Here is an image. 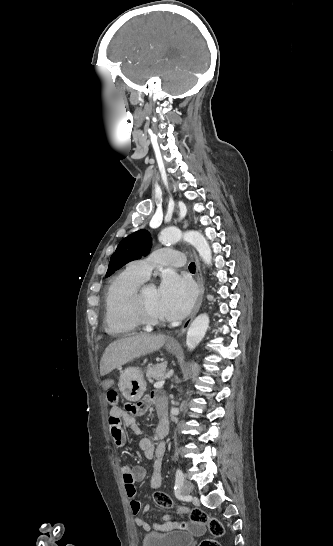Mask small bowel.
Returning <instances> with one entry per match:
<instances>
[{"label": "small bowel", "instance_id": "1", "mask_svg": "<svg viewBox=\"0 0 333 546\" xmlns=\"http://www.w3.org/2000/svg\"><path fill=\"white\" fill-rule=\"evenodd\" d=\"M105 388L111 389L115 386V381L111 378L103 381ZM151 406H155L159 423L153 438H142L139 442L140 449L144 452V455L148 459H152V473L150 476V486L152 488H159L162 485V458L166 449V444L163 441L164 437L168 433V419H167V401L162 394L150 393L146 395L136 405L127 406V410L131 411L133 415H143L148 411ZM122 423L128 426L134 433L140 434L141 428L136 422L134 416L128 412L122 410L119 407H113L110 410L108 416L109 431L114 440L116 446L123 447L125 444V434L122 430ZM122 475L124 488L127 496L131 499L130 507L133 514L137 515L142 512V517L135 518V524L141 527L144 531L151 529L150 524L145 519L151 511L149 505L141 507V503L134 499L136 495V482H139L145 477V469L141 466H131L128 464H122L120 468ZM163 523L155 525V529L159 532H168L175 528H178L185 524V522H176L171 519L169 515L163 516ZM193 530L199 528L198 525H192Z\"/></svg>", "mask_w": 333, "mask_h": 546}]
</instances>
